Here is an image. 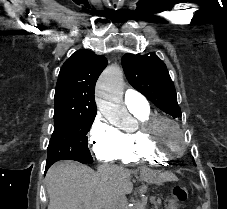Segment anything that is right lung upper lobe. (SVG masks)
Returning a JSON list of instances; mask_svg holds the SVG:
<instances>
[{"mask_svg":"<svg viewBox=\"0 0 227 209\" xmlns=\"http://www.w3.org/2000/svg\"><path fill=\"white\" fill-rule=\"evenodd\" d=\"M107 66L103 55L78 50L63 64L56 85L55 113L96 114V81Z\"/></svg>","mask_w":227,"mask_h":209,"instance_id":"cb5924a9","label":"right lung upper lobe"}]
</instances>
